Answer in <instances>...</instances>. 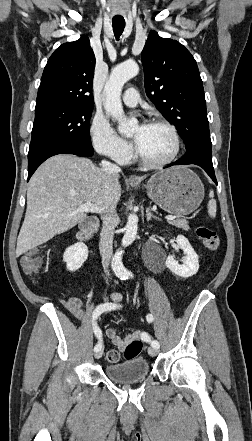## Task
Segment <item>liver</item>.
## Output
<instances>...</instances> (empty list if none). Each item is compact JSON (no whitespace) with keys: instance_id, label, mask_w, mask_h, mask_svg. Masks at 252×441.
Instances as JSON below:
<instances>
[{"instance_id":"liver-1","label":"liver","mask_w":252,"mask_h":441,"mask_svg":"<svg viewBox=\"0 0 252 441\" xmlns=\"http://www.w3.org/2000/svg\"><path fill=\"white\" fill-rule=\"evenodd\" d=\"M119 174H106L91 160L70 154L47 159L33 174L16 255L31 250L86 219L78 208L90 202L103 210L121 197Z\"/></svg>"}]
</instances>
